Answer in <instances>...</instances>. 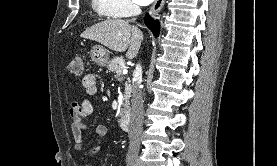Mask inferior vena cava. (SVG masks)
Wrapping results in <instances>:
<instances>
[{
	"mask_svg": "<svg viewBox=\"0 0 277 166\" xmlns=\"http://www.w3.org/2000/svg\"><path fill=\"white\" fill-rule=\"evenodd\" d=\"M141 9L139 6H133V15H139ZM134 20V19H133ZM135 81L132 88V115H131V125L129 131V148L128 157H137L140 147V136L142 133L143 126V97L142 91L140 89V84L142 81V67L140 64L136 65L134 71Z\"/></svg>",
	"mask_w": 277,
	"mask_h": 166,
	"instance_id": "obj_1",
	"label": "inferior vena cava"
}]
</instances>
